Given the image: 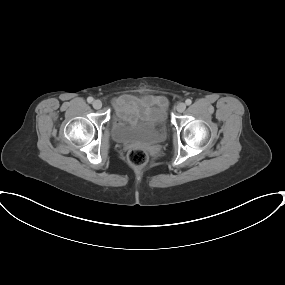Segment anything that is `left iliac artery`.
Instances as JSON below:
<instances>
[{"label":"left iliac artery","instance_id":"44dca946","mask_svg":"<svg viewBox=\"0 0 285 285\" xmlns=\"http://www.w3.org/2000/svg\"><path fill=\"white\" fill-rule=\"evenodd\" d=\"M185 103H186L187 105H190V104L192 103V101H191L190 99H187V100L185 101Z\"/></svg>","mask_w":285,"mask_h":285}]
</instances>
